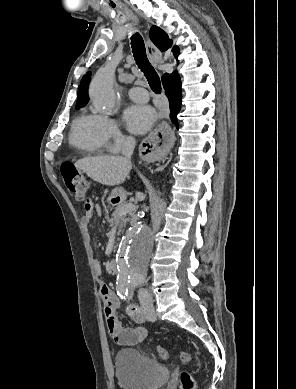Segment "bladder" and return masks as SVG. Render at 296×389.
I'll list each match as a JSON object with an SVG mask.
<instances>
[{"mask_svg":"<svg viewBox=\"0 0 296 389\" xmlns=\"http://www.w3.org/2000/svg\"><path fill=\"white\" fill-rule=\"evenodd\" d=\"M115 372L122 389H158L169 378V370L136 349L119 350L114 358Z\"/></svg>","mask_w":296,"mask_h":389,"instance_id":"obj_1","label":"bladder"}]
</instances>
